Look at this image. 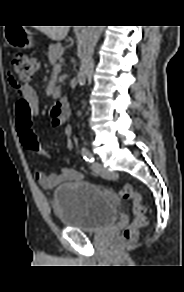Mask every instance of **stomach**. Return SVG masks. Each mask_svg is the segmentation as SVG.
Returning <instances> with one entry per match:
<instances>
[{
	"label": "stomach",
	"instance_id": "0dacf381",
	"mask_svg": "<svg viewBox=\"0 0 184 292\" xmlns=\"http://www.w3.org/2000/svg\"><path fill=\"white\" fill-rule=\"evenodd\" d=\"M5 39L7 43L15 49H28L33 47L31 32L24 26L6 27Z\"/></svg>",
	"mask_w": 184,
	"mask_h": 292
}]
</instances>
